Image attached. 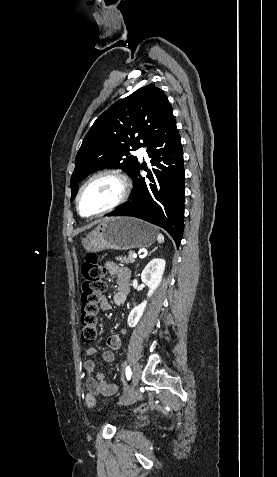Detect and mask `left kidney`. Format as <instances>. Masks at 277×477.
<instances>
[{
    "label": "left kidney",
    "instance_id": "obj_1",
    "mask_svg": "<svg viewBox=\"0 0 277 477\" xmlns=\"http://www.w3.org/2000/svg\"><path fill=\"white\" fill-rule=\"evenodd\" d=\"M165 264L166 262L164 259L155 258L151 260L142 271L141 280L149 288L147 294L148 297H151L159 286L165 270ZM146 305L147 301L144 300L141 304L131 310L127 321L130 327H135L138 324L145 311Z\"/></svg>",
    "mask_w": 277,
    "mask_h": 477
}]
</instances>
